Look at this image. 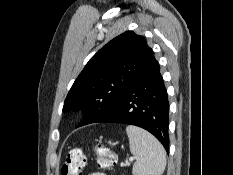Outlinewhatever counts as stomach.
I'll use <instances>...</instances> for the list:
<instances>
[{
	"instance_id": "obj_1",
	"label": "stomach",
	"mask_w": 233,
	"mask_h": 175,
	"mask_svg": "<svg viewBox=\"0 0 233 175\" xmlns=\"http://www.w3.org/2000/svg\"><path fill=\"white\" fill-rule=\"evenodd\" d=\"M109 144H112L111 141L108 142Z\"/></svg>"
}]
</instances>
